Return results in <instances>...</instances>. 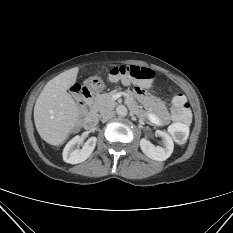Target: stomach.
I'll return each mask as SVG.
<instances>
[{
	"label": "stomach",
	"instance_id": "stomach-1",
	"mask_svg": "<svg viewBox=\"0 0 233 233\" xmlns=\"http://www.w3.org/2000/svg\"><path fill=\"white\" fill-rule=\"evenodd\" d=\"M86 85L92 92H96V93L102 91L104 88L103 81L101 80V78L97 76L90 77L86 81Z\"/></svg>",
	"mask_w": 233,
	"mask_h": 233
}]
</instances>
